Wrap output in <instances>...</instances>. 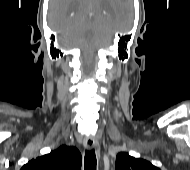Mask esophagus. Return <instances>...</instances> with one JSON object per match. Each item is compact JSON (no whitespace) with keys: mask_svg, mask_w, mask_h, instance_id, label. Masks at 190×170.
Masks as SVG:
<instances>
[{"mask_svg":"<svg viewBox=\"0 0 190 170\" xmlns=\"http://www.w3.org/2000/svg\"><path fill=\"white\" fill-rule=\"evenodd\" d=\"M98 145L94 137H87L84 141V146L87 150H92Z\"/></svg>","mask_w":190,"mask_h":170,"instance_id":"esophagus-1","label":"esophagus"}]
</instances>
